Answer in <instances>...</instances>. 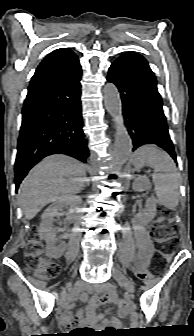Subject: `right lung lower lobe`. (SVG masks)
<instances>
[{
    "mask_svg": "<svg viewBox=\"0 0 194 336\" xmlns=\"http://www.w3.org/2000/svg\"><path fill=\"white\" fill-rule=\"evenodd\" d=\"M82 70L78 62L50 79L31 84L22 110L15 162V186L42 158L67 154L84 163L89 150L83 133Z\"/></svg>",
    "mask_w": 194,
    "mask_h": 336,
    "instance_id": "98d812e1",
    "label": "right lung lower lobe"
}]
</instances>
